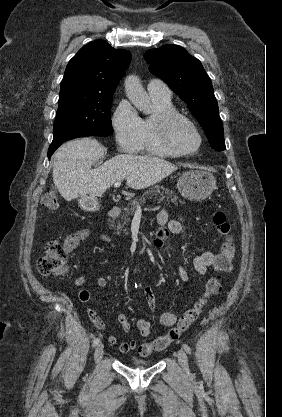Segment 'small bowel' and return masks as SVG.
I'll return each instance as SVG.
<instances>
[{
  "instance_id": "c3829d8e",
  "label": "small bowel",
  "mask_w": 282,
  "mask_h": 417,
  "mask_svg": "<svg viewBox=\"0 0 282 417\" xmlns=\"http://www.w3.org/2000/svg\"><path fill=\"white\" fill-rule=\"evenodd\" d=\"M157 223H158V231L156 233L155 238V244L156 246L160 247L168 235V233H172L175 235H185L187 233V227L184 224V220L181 216H178L174 219L169 218V213L166 209H161L157 214ZM91 235L90 229H81L77 231L76 233H73L69 235L66 238L65 246L67 249L71 250L75 248L80 242L84 241ZM101 238L105 241L110 243L113 247H115L114 243L112 241L102 235ZM216 255L211 251H203L199 254H197L193 259V266L196 272L201 275L205 276L207 273V270L210 266H212V263L215 262ZM178 276L182 281H188L190 279L189 273L185 267H179L178 269ZM84 277H78L74 285L76 287H81L84 284ZM108 284V280L104 276H98L96 278V285L100 288L106 287ZM143 291L145 293L146 299L150 304H154L155 302V295L152 290V288L148 285L143 286ZM78 298L82 302H88L91 298V292L88 289H81L78 293ZM88 316L91 320V322L94 324L96 328L99 330L105 329V323L102 320V318L97 314V312L92 309L88 308L87 310ZM175 318H181V316H178L171 312H162L159 315L158 322L160 325L169 327L170 323H174ZM121 329L125 333H129L132 330V324L129 321L127 315L125 313H119L116 317ZM136 326L139 330V333L143 337H149L152 335V322L147 319H139L136 322ZM108 341L112 345H118L119 351L122 354H127L129 352H132L138 348V343L134 339H129L125 341H119V339L114 336L110 335L108 337ZM146 344V343H144Z\"/></svg>"
}]
</instances>
